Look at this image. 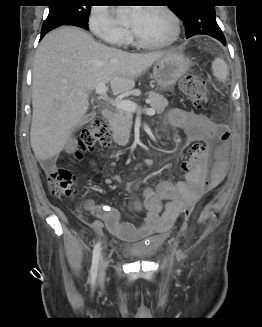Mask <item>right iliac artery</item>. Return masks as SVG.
<instances>
[{"label": "right iliac artery", "instance_id": "1", "mask_svg": "<svg viewBox=\"0 0 262 327\" xmlns=\"http://www.w3.org/2000/svg\"><path fill=\"white\" fill-rule=\"evenodd\" d=\"M100 251H101V243L97 242L93 249L92 266L90 269L91 284L93 285L95 284L96 277H97Z\"/></svg>", "mask_w": 262, "mask_h": 327}]
</instances>
